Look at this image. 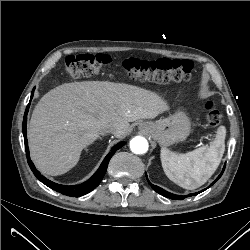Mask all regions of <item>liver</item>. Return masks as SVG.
<instances>
[{"label": "liver", "instance_id": "obj_1", "mask_svg": "<svg viewBox=\"0 0 250 250\" xmlns=\"http://www.w3.org/2000/svg\"><path fill=\"white\" fill-rule=\"evenodd\" d=\"M168 110L156 93L108 81H83L59 85L35 106L27 136L31 159L44 174L68 172L111 124L117 138L130 131L129 122L153 119ZM104 135V134H102Z\"/></svg>", "mask_w": 250, "mask_h": 250}]
</instances>
